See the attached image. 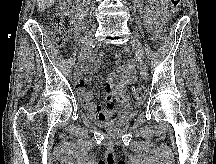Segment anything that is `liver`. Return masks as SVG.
I'll return each mask as SVG.
<instances>
[{
	"mask_svg": "<svg viewBox=\"0 0 216 164\" xmlns=\"http://www.w3.org/2000/svg\"><path fill=\"white\" fill-rule=\"evenodd\" d=\"M57 0H37L38 11L42 12L45 9L51 7Z\"/></svg>",
	"mask_w": 216,
	"mask_h": 164,
	"instance_id": "6515ba94",
	"label": "liver"
}]
</instances>
